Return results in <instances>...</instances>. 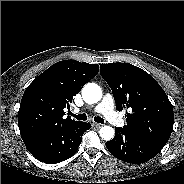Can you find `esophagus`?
I'll return each mask as SVG.
<instances>
[{
  "mask_svg": "<svg viewBox=\"0 0 184 184\" xmlns=\"http://www.w3.org/2000/svg\"><path fill=\"white\" fill-rule=\"evenodd\" d=\"M93 126H95L96 128H100L103 126V124L100 123H92Z\"/></svg>",
  "mask_w": 184,
  "mask_h": 184,
  "instance_id": "esophagus-1",
  "label": "esophagus"
}]
</instances>
